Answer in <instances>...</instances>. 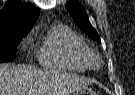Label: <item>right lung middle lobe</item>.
<instances>
[{
    "instance_id": "dd1d6c3e",
    "label": "right lung middle lobe",
    "mask_w": 135,
    "mask_h": 95,
    "mask_svg": "<svg viewBox=\"0 0 135 95\" xmlns=\"http://www.w3.org/2000/svg\"><path fill=\"white\" fill-rule=\"evenodd\" d=\"M29 31H15L0 35V63L11 61L16 57V46Z\"/></svg>"
}]
</instances>
